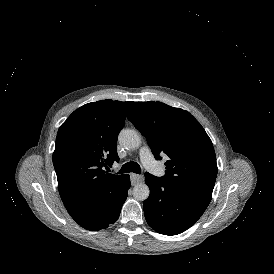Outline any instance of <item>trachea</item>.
Masks as SVG:
<instances>
[{
  "mask_svg": "<svg viewBox=\"0 0 274 274\" xmlns=\"http://www.w3.org/2000/svg\"><path fill=\"white\" fill-rule=\"evenodd\" d=\"M129 172H134V173L140 174L141 173V168H140L139 164L134 162V161H130L128 163H125L122 166L119 173L121 174V173H129Z\"/></svg>",
  "mask_w": 274,
  "mask_h": 274,
  "instance_id": "trachea-1",
  "label": "trachea"
}]
</instances>
